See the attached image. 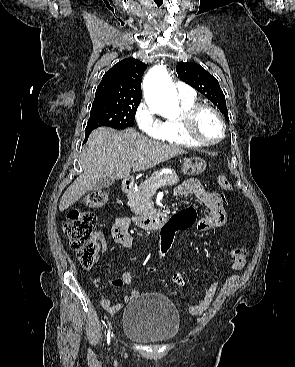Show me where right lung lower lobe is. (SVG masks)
<instances>
[{
    "label": "right lung lower lobe",
    "mask_w": 295,
    "mask_h": 367,
    "mask_svg": "<svg viewBox=\"0 0 295 367\" xmlns=\"http://www.w3.org/2000/svg\"><path fill=\"white\" fill-rule=\"evenodd\" d=\"M88 137H89V136H86V137H85V140H87V139H88Z\"/></svg>",
    "instance_id": "obj_1"
}]
</instances>
